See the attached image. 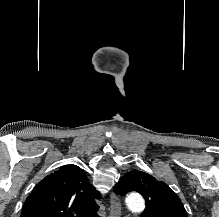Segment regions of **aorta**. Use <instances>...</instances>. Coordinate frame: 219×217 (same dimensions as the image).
<instances>
[{
    "label": "aorta",
    "mask_w": 219,
    "mask_h": 217,
    "mask_svg": "<svg viewBox=\"0 0 219 217\" xmlns=\"http://www.w3.org/2000/svg\"><path fill=\"white\" fill-rule=\"evenodd\" d=\"M126 204L127 207L134 212L143 211L145 208L144 199L138 194L128 196L126 198Z\"/></svg>",
    "instance_id": "aorta-1"
}]
</instances>
